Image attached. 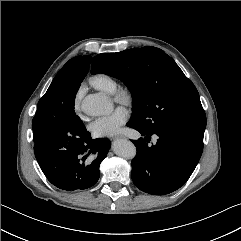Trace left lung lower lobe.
Wrapping results in <instances>:
<instances>
[{
  "label": "left lung lower lobe",
  "instance_id": "obj_1",
  "mask_svg": "<svg viewBox=\"0 0 241 241\" xmlns=\"http://www.w3.org/2000/svg\"><path fill=\"white\" fill-rule=\"evenodd\" d=\"M127 126L139 131L145 140L152 134L159 137L152 146L143 138L132 140L137 148L132 160L134 184L154 195L169 194L183 186L201 157L204 131L170 125L146 133L137 121H129Z\"/></svg>",
  "mask_w": 241,
  "mask_h": 241
}]
</instances>
